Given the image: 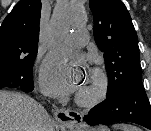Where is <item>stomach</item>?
I'll list each match as a JSON object with an SVG mask.
<instances>
[{"label": "stomach", "mask_w": 151, "mask_h": 131, "mask_svg": "<svg viewBox=\"0 0 151 131\" xmlns=\"http://www.w3.org/2000/svg\"><path fill=\"white\" fill-rule=\"evenodd\" d=\"M91 131H109V129L105 126H98V127L92 128Z\"/></svg>", "instance_id": "obj_1"}]
</instances>
